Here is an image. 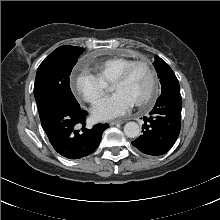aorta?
<instances>
[{"label":"aorta","mask_w":220,"mask_h":220,"mask_svg":"<svg viewBox=\"0 0 220 220\" xmlns=\"http://www.w3.org/2000/svg\"><path fill=\"white\" fill-rule=\"evenodd\" d=\"M124 134L128 138H136L140 134V127L136 122H128L124 126Z\"/></svg>","instance_id":"aorta-1"}]
</instances>
